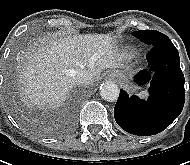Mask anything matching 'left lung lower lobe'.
<instances>
[{
  "label": "left lung lower lobe",
  "mask_w": 190,
  "mask_h": 165,
  "mask_svg": "<svg viewBox=\"0 0 190 165\" xmlns=\"http://www.w3.org/2000/svg\"><path fill=\"white\" fill-rule=\"evenodd\" d=\"M147 60L153 73L142 70L134 81L143 85L151 80L148 100L129 97L127 92L120 90L114 108L117 124L138 136H150L165 130L180 115L185 101L179 53L171 40L152 46Z\"/></svg>",
  "instance_id": "left-lung-lower-lobe-1"
}]
</instances>
